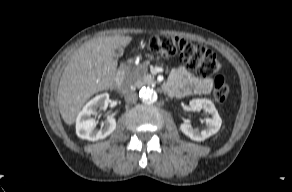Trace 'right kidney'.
I'll return each mask as SVG.
<instances>
[{
    "mask_svg": "<svg viewBox=\"0 0 292 192\" xmlns=\"http://www.w3.org/2000/svg\"><path fill=\"white\" fill-rule=\"evenodd\" d=\"M109 103V94L103 93L91 99L83 107L76 119V134L81 139L97 141L109 136L116 129V120L109 117L103 127L95 129L96 121L91 115H96L98 109H106Z\"/></svg>",
    "mask_w": 292,
    "mask_h": 192,
    "instance_id": "right-kidney-1",
    "label": "right kidney"
}]
</instances>
